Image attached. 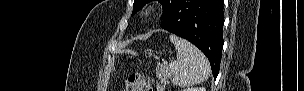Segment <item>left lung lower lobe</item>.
<instances>
[{
    "instance_id": "left-lung-lower-lobe-1",
    "label": "left lung lower lobe",
    "mask_w": 304,
    "mask_h": 91,
    "mask_svg": "<svg viewBox=\"0 0 304 91\" xmlns=\"http://www.w3.org/2000/svg\"><path fill=\"white\" fill-rule=\"evenodd\" d=\"M223 0H177L161 28L196 45L208 58L216 79L223 48Z\"/></svg>"
}]
</instances>
